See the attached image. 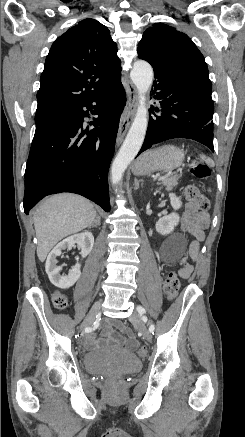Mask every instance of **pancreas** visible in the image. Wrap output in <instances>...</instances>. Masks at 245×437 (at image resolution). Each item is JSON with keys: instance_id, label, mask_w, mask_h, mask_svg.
I'll return each mask as SVG.
<instances>
[{"instance_id": "obj_1", "label": "pancreas", "mask_w": 245, "mask_h": 437, "mask_svg": "<svg viewBox=\"0 0 245 437\" xmlns=\"http://www.w3.org/2000/svg\"><path fill=\"white\" fill-rule=\"evenodd\" d=\"M178 179H179L178 175H173V176H170L168 178L163 179L161 181V184L166 186L167 190H172L174 187H176L178 185Z\"/></svg>"}]
</instances>
